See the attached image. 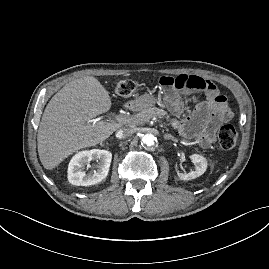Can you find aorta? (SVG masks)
Listing matches in <instances>:
<instances>
[{
  "instance_id": "1",
  "label": "aorta",
  "mask_w": 269,
  "mask_h": 269,
  "mask_svg": "<svg viewBox=\"0 0 269 269\" xmlns=\"http://www.w3.org/2000/svg\"><path fill=\"white\" fill-rule=\"evenodd\" d=\"M155 141H156V137L151 134V133H147V134H144L142 137H141V142L146 145V146H152L155 144Z\"/></svg>"
}]
</instances>
